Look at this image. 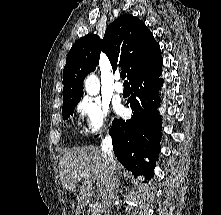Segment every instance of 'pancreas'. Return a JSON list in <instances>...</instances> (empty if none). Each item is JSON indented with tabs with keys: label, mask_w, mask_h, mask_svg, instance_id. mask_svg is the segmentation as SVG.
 Instances as JSON below:
<instances>
[{
	"label": "pancreas",
	"mask_w": 221,
	"mask_h": 215,
	"mask_svg": "<svg viewBox=\"0 0 221 215\" xmlns=\"http://www.w3.org/2000/svg\"><path fill=\"white\" fill-rule=\"evenodd\" d=\"M91 215H100V210H94L93 208L90 210Z\"/></svg>",
	"instance_id": "obj_1"
}]
</instances>
